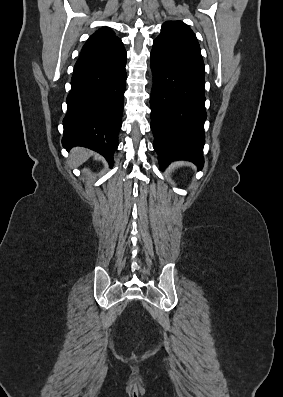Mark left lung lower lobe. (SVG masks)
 <instances>
[{
    "instance_id": "1",
    "label": "left lung lower lobe",
    "mask_w": 283,
    "mask_h": 397,
    "mask_svg": "<svg viewBox=\"0 0 283 397\" xmlns=\"http://www.w3.org/2000/svg\"><path fill=\"white\" fill-rule=\"evenodd\" d=\"M150 57L154 79L151 129L160 169L164 170L176 160L191 161L201 169L207 118L205 73L155 43Z\"/></svg>"
}]
</instances>
